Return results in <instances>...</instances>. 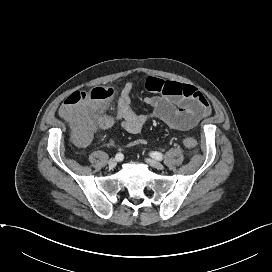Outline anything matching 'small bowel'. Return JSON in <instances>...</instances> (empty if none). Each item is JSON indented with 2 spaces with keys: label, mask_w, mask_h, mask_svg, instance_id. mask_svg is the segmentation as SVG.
<instances>
[{
  "label": "small bowel",
  "mask_w": 272,
  "mask_h": 272,
  "mask_svg": "<svg viewBox=\"0 0 272 272\" xmlns=\"http://www.w3.org/2000/svg\"><path fill=\"white\" fill-rule=\"evenodd\" d=\"M144 84L147 90L156 94L145 99V103L151 107L149 113H138L133 108L131 92L134 82L127 81L121 90L116 114L100 117L99 126L107 129L119 124L128 133L137 134L147 121L157 119L172 130L188 131L212 113L206 96L192 85L155 76L147 77ZM142 143L143 140H136L131 146Z\"/></svg>",
  "instance_id": "c3829d8e"
}]
</instances>
